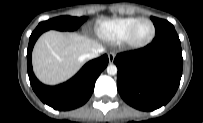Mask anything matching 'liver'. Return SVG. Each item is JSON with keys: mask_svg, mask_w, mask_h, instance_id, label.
<instances>
[{"mask_svg": "<svg viewBox=\"0 0 203 123\" xmlns=\"http://www.w3.org/2000/svg\"><path fill=\"white\" fill-rule=\"evenodd\" d=\"M99 46L98 41L78 33L45 32L33 49L34 73L45 84L62 83L81 68L86 54Z\"/></svg>", "mask_w": 203, "mask_h": 123, "instance_id": "obj_1", "label": "liver"}]
</instances>
